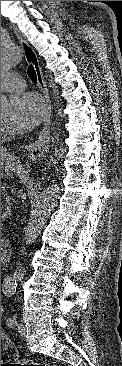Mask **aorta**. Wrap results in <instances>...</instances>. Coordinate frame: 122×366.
<instances>
[{"label":"aorta","mask_w":122,"mask_h":366,"mask_svg":"<svg viewBox=\"0 0 122 366\" xmlns=\"http://www.w3.org/2000/svg\"><path fill=\"white\" fill-rule=\"evenodd\" d=\"M23 61V53L17 44L4 41L1 42V73H7ZM55 99H58V90L53 87ZM9 100L6 95L1 93V114L7 112ZM61 186L58 180H52L42 190L40 197L37 199L34 208L31 211L30 219L25 228L24 242L31 245L36 242L45 226L52 210L55 207L56 200L59 197Z\"/></svg>","instance_id":"762f6f07"}]
</instances>
